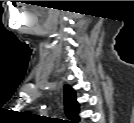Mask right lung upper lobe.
Masks as SVG:
<instances>
[{
    "instance_id": "right-lung-upper-lobe-1",
    "label": "right lung upper lobe",
    "mask_w": 134,
    "mask_h": 123,
    "mask_svg": "<svg viewBox=\"0 0 134 123\" xmlns=\"http://www.w3.org/2000/svg\"><path fill=\"white\" fill-rule=\"evenodd\" d=\"M65 114L72 123H78L79 103L76 101V93L69 85L64 87Z\"/></svg>"
}]
</instances>
